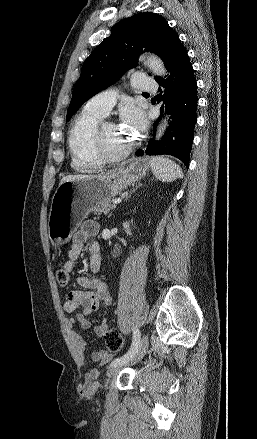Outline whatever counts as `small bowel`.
<instances>
[{
  "mask_svg": "<svg viewBox=\"0 0 257 439\" xmlns=\"http://www.w3.org/2000/svg\"><path fill=\"white\" fill-rule=\"evenodd\" d=\"M99 225L94 221H85L81 228L73 235L71 246L68 250V259L63 265V269L71 273L76 261L83 249L84 244L92 237L96 236ZM89 266L93 273L92 276H78L77 283L83 290L70 291L64 302V310L73 314L70 318V326L75 323L83 329L91 327V322L86 316L93 312L103 311L111 304V296L107 284L98 276L101 268L100 246L96 240H92L88 245ZM108 330L107 324L101 322L94 327V333L97 337H103ZM70 336L76 346L79 357L84 361L86 342L82 336L71 330ZM91 359L99 364H106L112 359V354L106 350H96L91 354Z\"/></svg>",
  "mask_w": 257,
  "mask_h": 439,
  "instance_id": "obj_1",
  "label": "small bowel"
}]
</instances>
